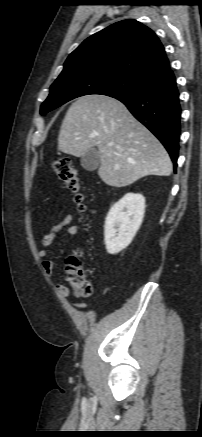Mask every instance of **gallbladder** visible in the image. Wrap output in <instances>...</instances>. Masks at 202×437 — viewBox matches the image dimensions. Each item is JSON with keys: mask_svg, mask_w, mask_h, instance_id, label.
Listing matches in <instances>:
<instances>
[{"mask_svg": "<svg viewBox=\"0 0 202 437\" xmlns=\"http://www.w3.org/2000/svg\"><path fill=\"white\" fill-rule=\"evenodd\" d=\"M80 161L85 170L94 171L100 164L99 154L94 148H91L81 157Z\"/></svg>", "mask_w": 202, "mask_h": 437, "instance_id": "bac80fb5", "label": "gallbladder"}]
</instances>
